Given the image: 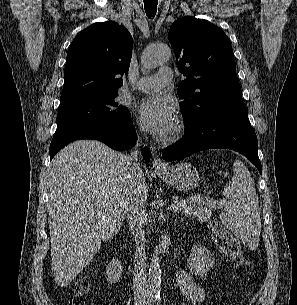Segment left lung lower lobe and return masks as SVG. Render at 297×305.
<instances>
[{
    "mask_svg": "<svg viewBox=\"0 0 297 305\" xmlns=\"http://www.w3.org/2000/svg\"><path fill=\"white\" fill-rule=\"evenodd\" d=\"M185 123L183 137L163 151L165 160L184 158L206 149L229 148L247 157L261 174L257 137L241 96L213 105Z\"/></svg>",
    "mask_w": 297,
    "mask_h": 305,
    "instance_id": "obj_1",
    "label": "left lung lower lobe"
}]
</instances>
